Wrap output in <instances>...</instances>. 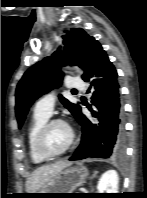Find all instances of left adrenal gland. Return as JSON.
Masks as SVG:
<instances>
[{
	"instance_id": "left-adrenal-gland-1",
	"label": "left adrenal gland",
	"mask_w": 147,
	"mask_h": 198,
	"mask_svg": "<svg viewBox=\"0 0 147 198\" xmlns=\"http://www.w3.org/2000/svg\"><path fill=\"white\" fill-rule=\"evenodd\" d=\"M97 173H98L97 171H94V175L92 176V178L95 177V175H96Z\"/></svg>"
}]
</instances>
